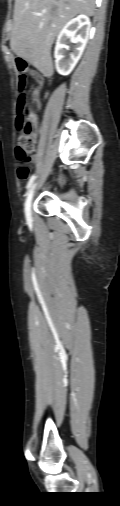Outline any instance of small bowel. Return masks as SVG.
<instances>
[{"label": "small bowel", "mask_w": 120, "mask_h": 506, "mask_svg": "<svg viewBox=\"0 0 120 506\" xmlns=\"http://www.w3.org/2000/svg\"><path fill=\"white\" fill-rule=\"evenodd\" d=\"M34 77L38 80L39 84H41L42 80L40 78V76L36 73L33 74ZM39 93H40V88L37 87L34 89L33 91V99L40 105V99H39ZM34 118V122H35V125H37V117L36 116H33Z\"/></svg>", "instance_id": "small-bowel-1"}]
</instances>
